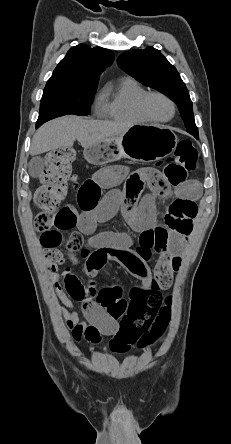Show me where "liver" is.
I'll list each match as a JSON object with an SVG mask.
<instances>
[{"mask_svg":"<svg viewBox=\"0 0 231 444\" xmlns=\"http://www.w3.org/2000/svg\"><path fill=\"white\" fill-rule=\"evenodd\" d=\"M131 124L110 121L87 120L74 115H67L49 121L35 133L30 153L37 155L58 148H72L78 140L86 149L103 142L107 138L124 134Z\"/></svg>","mask_w":231,"mask_h":444,"instance_id":"1","label":"liver"}]
</instances>
